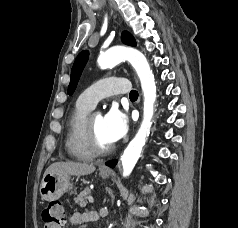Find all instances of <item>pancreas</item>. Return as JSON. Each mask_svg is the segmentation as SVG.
<instances>
[{
    "mask_svg": "<svg viewBox=\"0 0 238 228\" xmlns=\"http://www.w3.org/2000/svg\"><path fill=\"white\" fill-rule=\"evenodd\" d=\"M90 189L85 188L80 194L74 198L75 203L79 204L81 207H85L87 205V199L90 197Z\"/></svg>",
    "mask_w": 238,
    "mask_h": 228,
    "instance_id": "obj_1",
    "label": "pancreas"
}]
</instances>
